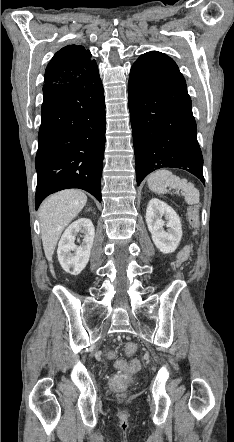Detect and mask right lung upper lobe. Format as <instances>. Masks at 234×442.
Here are the masks:
<instances>
[{
  "label": "right lung upper lobe",
  "instance_id": "obj_1",
  "mask_svg": "<svg viewBox=\"0 0 234 442\" xmlns=\"http://www.w3.org/2000/svg\"><path fill=\"white\" fill-rule=\"evenodd\" d=\"M91 54L83 46L68 45L59 50L45 71L46 83H66L74 80L87 69L96 65Z\"/></svg>",
  "mask_w": 234,
  "mask_h": 442
}]
</instances>
